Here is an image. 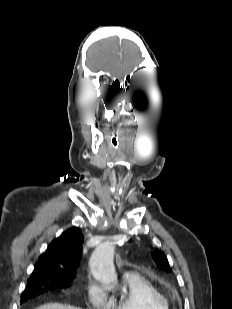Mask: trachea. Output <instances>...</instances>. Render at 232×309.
<instances>
[{
    "mask_svg": "<svg viewBox=\"0 0 232 309\" xmlns=\"http://www.w3.org/2000/svg\"><path fill=\"white\" fill-rule=\"evenodd\" d=\"M109 141H110V145L115 149L118 150L119 149V140L117 138V136L115 134H111L109 137Z\"/></svg>",
    "mask_w": 232,
    "mask_h": 309,
    "instance_id": "obj_1",
    "label": "trachea"
}]
</instances>
